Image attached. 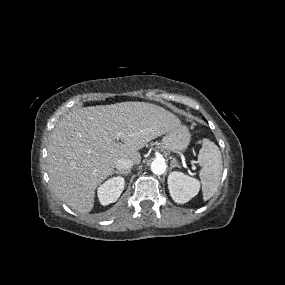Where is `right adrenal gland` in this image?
Instances as JSON below:
<instances>
[{"mask_svg":"<svg viewBox=\"0 0 285 285\" xmlns=\"http://www.w3.org/2000/svg\"><path fill=\"white\" fill-rule=\"evenodd\" d=\"M130 172H131L130 170H128V171H118V170H117V171H114L113 174H114V173H117V174L128 175V174H130Z\"/></svg>","mask_w":285,"mask_h":285,"instance_id":"obj_1","label":"right adrenal gland"}]
</instances>
